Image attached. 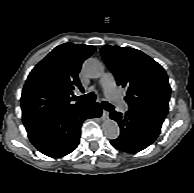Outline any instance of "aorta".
Masks as SVG:
<instances>
[{
  "label": "aorta",
  "mask_w": 194,
  "mask_h": 193,
  "mask_svg": "<svg viewBox=\"0 0 194 193\" xmlns=\"http://www.w3.org/2000/svg\"><path fill=\"white\" fill-rule=\"evenodd\" d=\"M83 72L87 77L96 79L104 73V66L97 59L89 58L83 64ZM102 129L104 135L109 139H116L120 134L118 123L109 118L103 122Z\"/></svg>",
  "instance_id": "762f6f07"
}]
</instances>
